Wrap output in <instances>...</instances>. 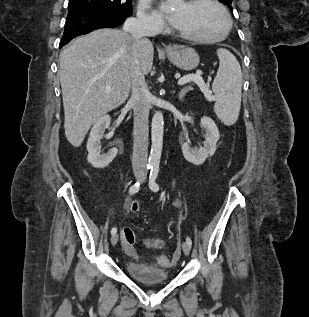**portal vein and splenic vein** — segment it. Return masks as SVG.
<instances>
[{
	"label": "portal vein and splenic vein",
	"instance_id": "1",
	"mask_svg": "<svg viewBox=\"0 0 309 317\" xmlns=\"http://www.w3.org/2000/svg\"><path fill=\"white\" fill-rule=\"evenodd\" d=\"M195 82L201 89L202 92L206 93L208 92V87L205 84V82L203 81L202 77H201V71L198 70L196 72V74L193 75H187L185 77H182L181 79L178 80V85H184L188 82ZM107 93L110 92L109 88H106L105 90Z\"/></svg>",
	"mask_w": 309,
	"mask_h": 317
}]
</instances>
